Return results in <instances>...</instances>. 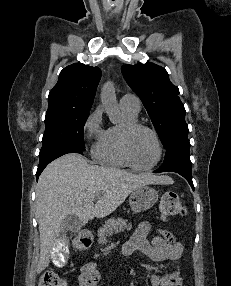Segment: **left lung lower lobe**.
Here are the masks:
<instances>
[{
	"instance_id": "left-lung-lower-lobe-1",
	"label": "left lung lower lobe",
	"mask_w": 231,
	"mask_h": 286,
	"mask_svg": "<svg viewBox=\"0 0 231 286\" xmlns=\"http://www.w3.org/2000/svg\"><path fill=\"white\" fill-rule=\"evenodd\" d=\"M166 155L162 166L155 170L154 173L176 172L183 176L194 189L191 175L192 164L190 161L189 150L190 143L187 136L173 139L165 147Z\"/></svg>"
}]
</instances>
